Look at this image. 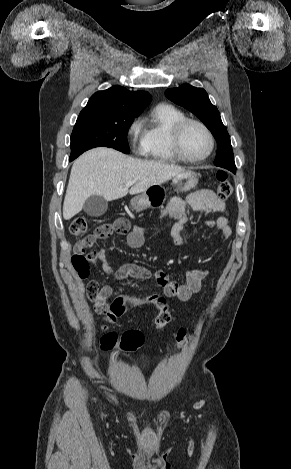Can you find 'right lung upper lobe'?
Listing matches in <instances>:
<instances>
[{
  "label": "right lung upper lobe",
  "mask_w": 291,
  "mask_h": 469,
  "mask_svg": "<svg viewBox=\"0 0 291 469\" xmlns=\"http://www.w3.org/2000/svg\"><path fill=\"white\" fill-rule=\"evenodd\" d=\"M151 102V95L145 91H129L113 86L91 96L80 115L98 117H137Z\"/></svg>",
  "instance_id": "1"
}]
</instances>
